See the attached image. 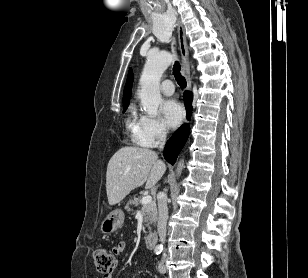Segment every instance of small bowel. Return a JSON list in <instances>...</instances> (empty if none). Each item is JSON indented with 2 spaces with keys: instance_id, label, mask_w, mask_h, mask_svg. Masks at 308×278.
Returning <instances> with one entry per match:
<instances>
[{
  "instance_id": "1",
  "label": "small bowel",
  "mask_w": 308,
  "mask_h": 278,
  "mask_svg": "<svg viewBox=\"0 0 308 278\" xmlns=\"http://www.w3.org/2000/svg\"><path fill=\"white\" fill-rule=\"evenodd\" d=\"M125 248H126V244L124 242H120L112 248V252H113L114 256H118V255H120L121 253L124 252ZM116 264H117V261L115 260L113 266L115 267ZM111 273H112V270L109 271L108 273H106L104 278H111Z\"/></svg>"
}]
</instances>
